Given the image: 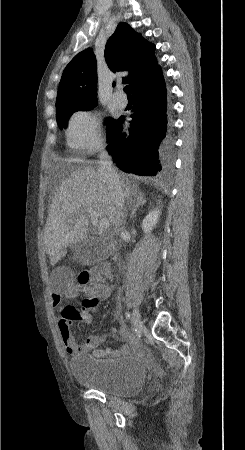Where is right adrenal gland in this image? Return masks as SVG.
Masks as SVG:
<instances>
[{
  "label": "right adrenal gland",
  "instance_id": "1",
  "mask_svg": "<svg viewBox=\"0 0 245 450\" xmlns=\"http://www.w3.org/2000/svg\"><path fill=\"white\" fill-rule=\"evenodd\" d=\"M134 199H131L130 204L132 205L131 209V219L134 218L137 209L140 206H143L146 203V199L144 197V194L142 192H134L133 193Z\"/></svg>",
  "mask_w": 245,
  "mask_h": 450
}]
</instances>
